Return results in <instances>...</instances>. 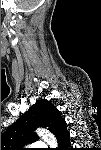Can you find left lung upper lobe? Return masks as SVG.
I'll list each match as a JSON object with an SVG mask.
<instances>
[{
	"mask_svg": "<svg viewBox=\"0 0 101 150\" xmlns=\"http://www.w3.org/2000/svg\"><path fill=\"white\" fill-rule=\"evenodd\" d=\"M36 127H47L57 139L67 131L66 122L56 107L49 101L38 100L4 132L1 146L14 150L38 140L33 132Z\"/></svg>",
	"mask_w": 101,
	"mask_h": 150,
	"instance_id": "1",
	"label": "left lung upper lobe"
}]
</instances>
